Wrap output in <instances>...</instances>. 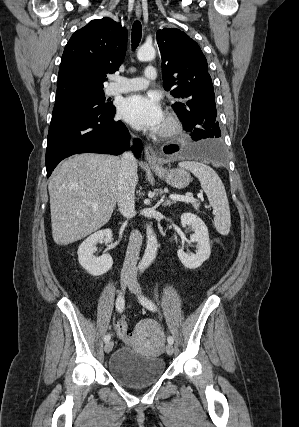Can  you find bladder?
Returning a JSON list of instances; mask_svg holds the SVG:
<instances>
[{
	"instance_id": "31cf9c89",
	"label": "bladder",
	"mask_w": 299,
	"mask_h": 427,
	"mask_svg": "<svg viewBox=\"0 0 299 427\" xmlns=\"http://www.w3.org/2000/svg\"><path fill=\"white\" fill-rule=\"evenodd\" d=\"M108 371L119 384L140 388L156 383L163 376L165 362L160 356L142 355L122 346L111 356Z\"/></svg>"
}]
</instances>
